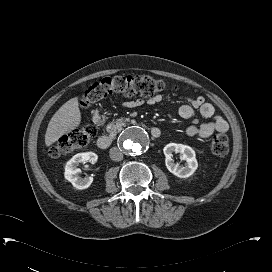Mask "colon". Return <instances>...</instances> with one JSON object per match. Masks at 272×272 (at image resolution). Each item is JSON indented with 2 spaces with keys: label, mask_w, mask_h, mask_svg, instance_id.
I'll return each instance as SVG.
<instances>
[{
  "label": "colon",
  "mask_w": 272,
  "mask_h": 272,
  "mask_svg": "<svg viewBox=\"0 0 272 272\" xmlns=\"http://www.w3.org/2000/svg\"><path fill=\"white\" fill-rule=\"evenodd\" d=\"M172 86L164 80L148 75L110 76L89 85L84 93L82 105L88 107L101 101L115 92L127 96L151 98L157 94L170 91ZM96 135L93 126H81L58 139L51 147L50 154L54 157L68 155L77 149L85 147ZM211 151L214 155L223 157L229 151V139L224 133H217L211 140Z\"/></svg>",
  "instance_id": "colon-1"
}]
</instances>
